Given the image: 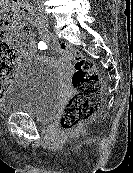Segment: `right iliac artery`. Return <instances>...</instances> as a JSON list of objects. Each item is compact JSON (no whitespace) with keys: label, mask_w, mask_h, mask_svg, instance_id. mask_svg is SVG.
<instances>
[{"label":"right iliac artery","mask_w":133,"mask_h":173,"mask_svg":"<svg viewBox=\"0 0 133 173\" xmlns=\"http://www.w3.org/2000/svg\"><path fill=\"white\" fill-rule=\"evenodd\" d=\"M32 15L33 16L35 15L33 9H32ZM35 22H36V26H37V29L39 31V34L41 35V37L44 39L45 42H48L49 41V35L47 32V29L44 27L43 23L41 22V20L38 17H36Z\"/></svg>","instance_id":"right-iliac-artery-1"}]
</instances>
